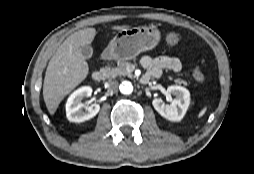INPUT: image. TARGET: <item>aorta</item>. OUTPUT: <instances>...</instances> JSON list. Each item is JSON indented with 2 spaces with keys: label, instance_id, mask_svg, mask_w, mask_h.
<instances>
[{
  "label": "aorta",
  "instance_id": "1",
  "mask_svg": "<svg viewBox=\"0 0 254 174\" xmlns=\"http://www.w3.org/2000/svg\"><path fill=\"white\" fill-rule=\"evenodd\" d=\"M119 90L122 94L129 95L133 92V86L130 82L124 81L122 84L119 86Z\"/></svg>",
  "mask_w": 254,
  "mask_h": 174
}]
</instances>
